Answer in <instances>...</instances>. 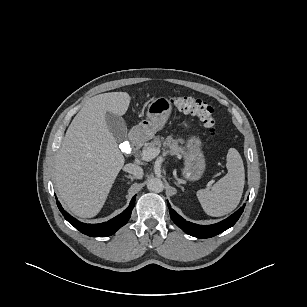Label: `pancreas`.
Listing matches in <instances>:
<instances>
[{
    "instance_id": "pancreas-1",
    "label": "pancreas",
    "mask_w": 307,
    "mask_h": 307,
    "mask_svg": "<svg viewBox=\"0 0 307 307\" xmlns=\"http://www.w3.org/2000/svg\"><path fill=\"white\" fill-rule=\"evenodd\" d=\"M179 143H183V140L174 139L172 136H168L166 139L157 136L153 139V141L145 143L143 150L150 148L160 149V147L163 146L164 148H168V153L170 155L181 158L182 156H185L186 152L184 148L179 145Z\"/></svg>"
}]
</instances>
